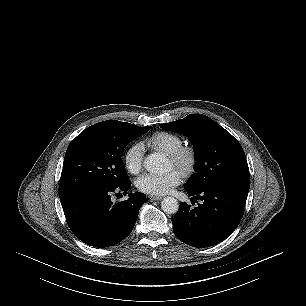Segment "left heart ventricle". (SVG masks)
<instances>
[{
	"instance_id": "obj_1",
	"label": "left heart ventricle",
	"mask_w": 306,
	"mask_h": 306,
	"mask_svg": "<svg viewBox=\"0 0 306 306\" xmlns=\"http://www.w3.org/2000/svg\"><path fill=\"white\" fill-rule=\"evenodd\" d=\"M169 163L171 168L175 167L174 163L171 160H169Z\"/></svg>"
}]
</instances>
